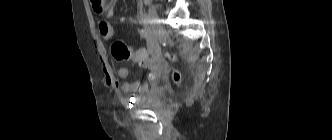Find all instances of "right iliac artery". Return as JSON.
Returning <instances> with one entry per match:
<instances>
[{
    "label": "right iliac artery",
    "mask_w": 332,
    "mask_h": 140,
    "mask_svg": "<svg viewBox=\"0 0 332 140\" xmlns=\"http://www.w3.org/2000/svg\"><path fill=\"white\" fill-rule=\"evenodd\" d=\"M140 22L144 25H148L150 23V18L145 13H141L140 15Z\"/></svg>",
    "instance_id": "82829eb1"
}]
</instances>
